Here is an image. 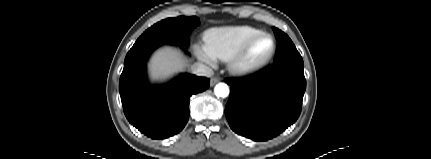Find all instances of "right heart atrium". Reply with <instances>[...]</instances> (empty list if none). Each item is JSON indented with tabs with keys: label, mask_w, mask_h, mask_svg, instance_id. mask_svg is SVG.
Instances as JSON below:
<instances>
[{
	"label": "right heart atrium",
	"mask_w": 431,
	"mask_h": 159,
	"mask_svg": "<svg viewBox=\"0 0 431 159\" xmlns=\"http://www.w3.org/2000/svg\"><path fill=\"white\" fill-rule=\"evenodd\" d=\"M194 52L198 59L209 65H214L217 58L211 53L205 44L197 43L194 45Z\"/></svg>",
	"instance_id": "d8ad5b80"
}]
</instances>
